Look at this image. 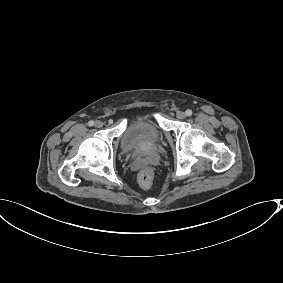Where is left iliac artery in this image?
Returning <instances> with one entry per match:
<instances>
[{"mask_svg": "<svg viewBox=\"0 0 283 283\" xmlns=\"http://www.w3.org/2000/svg\"><path fill=\"white\" fill-rule=\"evenodd\" d=\"M186 115L187 116H191L192 115V110H190V109L186 110Z\"/></svg>", "mask_w": 283, "mask_h": 283, "instance_id": "44dca946", "label": "left iliac artery"}]
</instances>
